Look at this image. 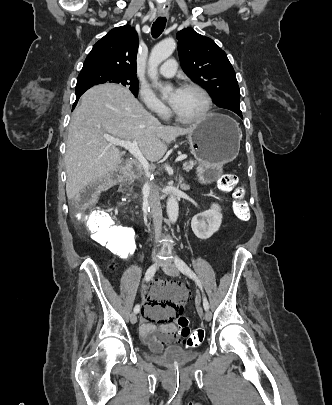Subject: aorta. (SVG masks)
I'll use <instances>...</instances> for the list:
<instances>
[{"instance_id":"obj_1","label":"aorta","mask_w":332,"mask_h":405,"mask_svg":"<svg viewBox=\"0 0 332 405\" xmlns=\"http://www.w3.org/2000/svg\"><path fill=\"white\" fill-rule=\"evenodd\" d=\"M175 48V40L173 38H166L155 45L150 53L148 60V74L153 83L161 89H163V87L158 82L157 68L164 60L172 55ZM178 212V202L174 196H170L167 201V215L172 224L176 223Z\"/></svg>"}]
</instances>
